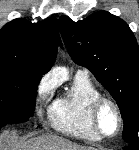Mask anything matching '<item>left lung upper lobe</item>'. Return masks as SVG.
<instances>
[{"instance_id": "5c2ea615", "label": "left lung upper lobe", "mask_w": 139, "mask_h": 150, "mask_svg": "<svg viewBox=\"0 0 139 150\" xmlns=\"http://www.w3.org/2000/svg\"><path fill=\"white\" fill-rule=\"evenodd\" d=\"M65 46L76 64L87 67L117 102L123 139L138 141L139 50L129 26L106 11L74 22L59 19Z\"/></svg>"}]
</instances>
